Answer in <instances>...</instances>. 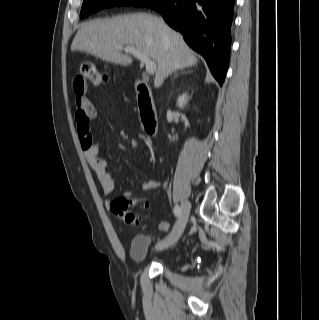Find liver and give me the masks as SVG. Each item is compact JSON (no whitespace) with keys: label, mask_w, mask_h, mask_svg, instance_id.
Segmentation results:
<instances>
[{"label":"liver","mask_w":319,"mask_h":320,"mask_svg":"<svg viewBox=\"0 0 319 320\" xmlns=\"http://www.w3.org/2000/svg\"><path fill=\"white\" fill-rule=\"evenodd\" d=\"M117 45L133 47L157 64L155 87L161 86L174 71L198 62L180 33L148 13L86 22L74 37L71 50L83 51L110 63L130 65L132 57L121 53Z\"/></svg>","instance_id":"1"}]
</instances>
